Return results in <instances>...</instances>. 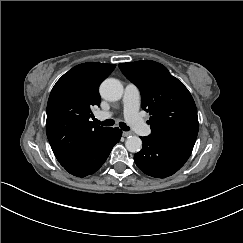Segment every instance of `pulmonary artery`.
Here are the masks:
<instances>
[{
  "instance_id": "1",
  "label": "pulmonary artery",
  "mask_w": 243,
  "mask_h": 243,
  "mask_svg": "<svg viewBox=\"0 0 243 243\" xmlns=\"http://www.w3.org/2000/svg\"><path fill=\"white\" fill-rule=\"evenodd\" d=\"M140 102L141 95L138 86L128 82L124 87L122 97V110L124 119L127 123L134 124L140 120ZM94 116L98 120H106L112 116V113L109 111H96Z\"/></svg>"
}]
</instances>
